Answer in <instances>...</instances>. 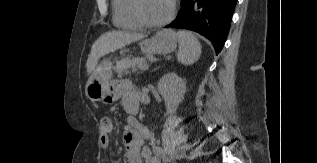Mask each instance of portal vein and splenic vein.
<instances>
[{"label":"portal vein and splenic vein","instance_id":"portal-vein-and-splenic-vein-1","mask_svg":"<svg viewBox=\"0 0 317 163\" xmlns=\"http://www.w3.org/2000/svg\"><path fill=\"white\" fill-rule=\"evenodd\" d=\"M148 66H140V69H147Z\"/></svg>","mask_w":317,"mask_h":163}]
</instances>
